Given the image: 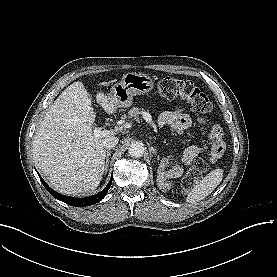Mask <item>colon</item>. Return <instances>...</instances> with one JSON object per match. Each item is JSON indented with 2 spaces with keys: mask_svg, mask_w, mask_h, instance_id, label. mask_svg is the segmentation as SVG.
<instances>
[{
  "mask_svg": "<svg viewBox=\"0 0 277 277\" xmlns=\"http://www.w3.org/2000/svg\"><path fill=\"white\" fill-rule=\"evenodd\" d=\"M158 92L166 99L182 98L188 101L192 109L199 114L209 115L212 112L213 106L209 98L189 80L175 77L163 78L158 83ZM208 168L209 164L206 161L197 160L182 179L183 192H189Z\"/></svg>",
  "mask_w": 277,
  "mask_h": 277,
  "instance_id": "obj_1",
  "label": "colon"
}]
</instances>
